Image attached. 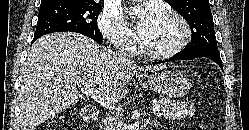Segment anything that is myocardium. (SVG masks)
Returning <instances> with one entry per match:
<instances>
[{"instance_id": "f54148a6", "label": "myocardium", "mask_w": 249, "mask_h": 130, "mask_svg": "<svg viewBox=\"0 0 249 130\" xmlns=\"http://www.w3.org/2000/svg\"><path fill=\"white\" fill-rule=\"evenodd\" d=\"M162 15L172 18L179 23L181 27V36L173 46H171L168 49L161 50V51L151 50L145 44H142V47H141L142 52L148 57L153 58V59H158V60L173 57L174 55L182 51L184 47L189 43L191 39V34H192L189 23L179 13L173 10H167V11H164Z\"/></svg>"}]
</instances>
